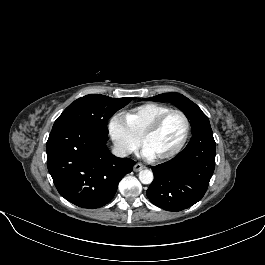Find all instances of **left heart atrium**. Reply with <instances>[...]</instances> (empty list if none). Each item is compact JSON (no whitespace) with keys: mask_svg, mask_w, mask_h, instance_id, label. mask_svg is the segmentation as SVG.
I'll use <instances>...</instances> for the list:
<instances>
[{"mask_svg":"<svg viewBox=\"0 0 265 265\" xmlns=\"http://www.w3.org/2000/svg\"><path fill=\"white\" fill-rule=\"evenodd\" d=\"M143 154H144L145 156H152L151 153L147 150L146 147L143 148Z\"/></svg>","mask_w":265,"mask_h":265,"instance_id":"left-heart-atrium-1","label":"left heart atrium"}]
</instances>
